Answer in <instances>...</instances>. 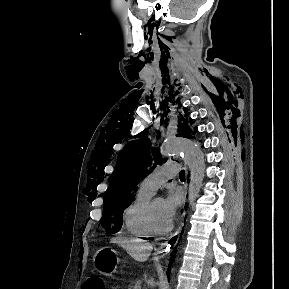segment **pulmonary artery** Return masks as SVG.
I'll list each match as a JSON object with an SVG mask.
<instances>
[{
    "label": "pulmonary artery",
    "instance_id": "1",
    "mask_svg": "<svg viewBox=\"0 0 289 289\" xmlns=\"http://www.w3.org/2000/svg\"><path fill=\"white\" fill-rule=\"evenodd\" d=\"M177 174L178 164L175 161H167L148 174L140 182L139 189L154 194L160 185Z\"/></svg>",
    "mask_w": 289,
    "mask_h": 289
}]
</instances>
